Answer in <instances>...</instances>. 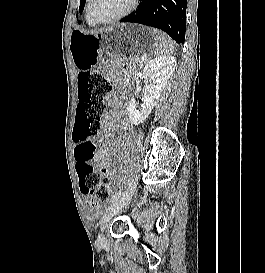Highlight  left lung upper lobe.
<instances>
[{
  "mask_svg": "<svg viewBox=\"0 0 265 273\" xmlns=\"http://www.w3.org/2000/svg\"><path fill=\"white\" fill-rule=\"evenodd\" d=\"M85 0H80V7H79V13H82L84 8Z\"/></svg>",
  "mask_w": 265,
  "mask_h": 273,
  "instance_id": "obj_1",
  "label": "left lung upper lobe"
}]
</instances>
